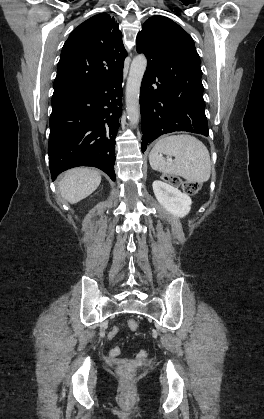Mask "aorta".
<instances>
[{"label":"aorta","mask_w":264,"mask_h":419,"mask_svg":"<svg viewBox=\"0 0 264 419\" xmlns=\"http://www.w3.org/2000/svg\"><path fill=\"white\" fill-rule=\"evenodd\" d=\"M147 67V59L143 54L137 55L130 66L126 85V110L130 123L134 126L139 122V94L141 81Z\"/></svg>","instance_id":"obj_1"}]
</instances>
